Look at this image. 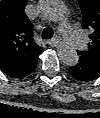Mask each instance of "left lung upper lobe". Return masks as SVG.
I'll list each match as a JSON object with an SVG mask.
<instances>
[{
    "instance_id": "5c2ea615",
    "label": "left lung upper lobe",
    "mask_w": 100,
    "mask_h": 118,
    "mask_svg": "<svg viewBox=\"0 0 100 118\" xmlns=\"http://www.w3.org/2000/svg\"><path fill=\"white\" fill-rule=\"evenodd\" d=\"M83 29L89 30L91 42L86 51H78L80 58L100 68V0H78Z\"/></svg>"
}]
</instances>
